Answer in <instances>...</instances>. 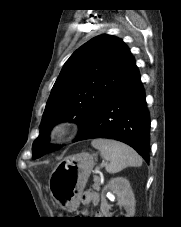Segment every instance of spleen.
<instances>
[{
	"instance_id": "1",
	"label": "spleen",
	"mask_w": 181,
	"mask_h": 227,
	"mask_svg": "<svg viewBox=\"0 0 181 227\" xmlns=\"http://www.w3.org/2000/svg\"><path fill=\"white\" fill-rule=\"evenodd\" d=\"M91 145L100 151L103 159L109 161L106 171L114 174L122 171L128 166L139 167L142 158L131 147L121 142L109 139H95Z\"/></svg>"
}]
</instances>
